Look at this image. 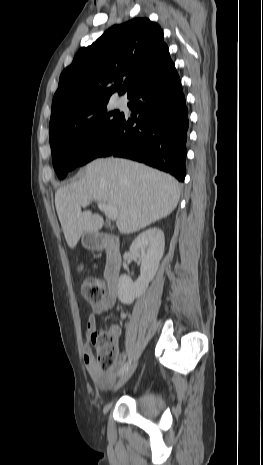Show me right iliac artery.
Instances as JSON below:
<instances>
[{
	"label": "right iliac artery",
	"instance_id": "1",
	"mask_svg": "<svg viewBox=\"0 0 263 465\" xmlns=\"http://www.w3.org/2000/svg\"><path fill=\"white\" fill-rule=\"evenodd\" d=\"M130 364H131V359H130L129 361H127V362L122 366V368H121V370H120V372H119V375H120V376L123 375V374L126 372V370L129 368Z\"/></svg>",
	"mask_w": 263,
	"mask_h": 465
}]
</instances>
